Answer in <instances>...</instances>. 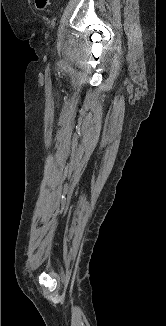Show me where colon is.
Listing matches in <instances>:
<instances>
[{
  "label": "colon",
  "instance_id": "colon-1",
  "mask_svg": "<svg viewBox=\"0 0 166 326\" xmlns=\"http://www.w3.org/2000/svg\"><path fill=\"white\" fill-rule=\"evenodd\" d=\"M36 8L41 12H47L49 7V0H35Z\"/></svg>",
  "mask_w": 166,
  "mask_h": 326
}]
</instances>
